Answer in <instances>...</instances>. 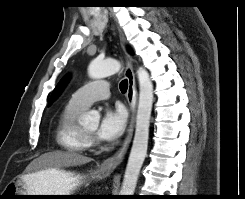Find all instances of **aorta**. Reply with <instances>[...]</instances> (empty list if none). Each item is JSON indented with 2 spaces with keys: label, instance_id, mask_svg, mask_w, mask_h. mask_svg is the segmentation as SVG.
<instances>
[{
  "label": "aorta",
  "instance_id": "obj_1",
  "mask_svg": "<svg viewBox=\"0 0 245 199\" xmlns=\"http://www.w3.org/2000/svg\"><path fill=\"white\" fill-rule=\"evenodd\" d=\"M121 64L115 59L93 60L88 67V74L93 79L105 78L118 73ZM139 81V101L136 116L135 135L128 158L120 195H133L141 167L147 155L150 117L153 105V83L149 73L143 67L137 70ZM100 115L92 110L81 118L83 125H96Z\"/></svg>",
  "mask_w": 245,
  "mask_h": 199
}]
</instances>
